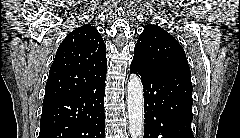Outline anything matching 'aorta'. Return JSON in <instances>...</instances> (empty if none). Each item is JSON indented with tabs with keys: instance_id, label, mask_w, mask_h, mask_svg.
I'll list each match as a JSON object with an SVG mask.
<instances>
[{
	"instance_id": "1",
	"label": "aorta",
	"mask_w": 240,
	"mask_h": 138,
	"mask_svg": "<svg viewBox=\"0 0 240 138\" xmlns=\"http://www.w3.org/2000/svg\"><path fill=\"white\" fill-rule=\"evenodd\" d=\"M128 124L131 138H142L144 134L143 87L138 76H131L127 85Z\"/></svg>"
}]
</instances>
